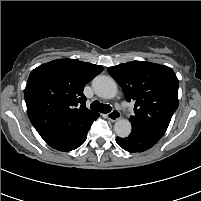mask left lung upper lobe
Returning a JSON list of instances; mask_svg holds the SVG:
<instances>
[{
  "mask_svg": "<svg viewBox=\"0 0 201 201\" xmlns=\"http://www.w3.org/2000/svg\"><path fill=\"white\" fill-rule=\"evenodd\" d=\"M108 73L127 101H135V114L129 119L132 127L167 130L179 104V81L170 67L132 61L109 67Z\"/></svg>",
  "mask_w": 201,
  "mask_h": 201,
  "instance_id": "left-lung-upper-lobe-1",
  "label": "left lung upper lobe"
}]
</instances>
